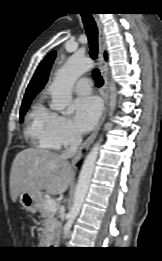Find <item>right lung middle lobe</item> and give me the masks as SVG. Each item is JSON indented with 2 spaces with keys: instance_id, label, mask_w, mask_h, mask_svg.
<instances>
[{
  "instance_id": "1",
  "label": "right lung middle lobe",
  "mask_w": 162,
  "mask_h": 261,
  "mask_svg": "<svg viewBox=\"0 0 162 261\" xmlns=\"http://www.w3.org/2000/svg\"><path fill=\"white\" fill-rule=\"evenodd\" d=\"M31 101L32 100L22 102V106H21V109H20V122H22L23 117H24L26 111L28 110V108L30 106Z\"/></svg>"
}]
</instances>
